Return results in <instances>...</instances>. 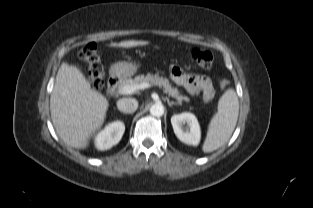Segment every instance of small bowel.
<instances>
[{
  "mask_svg": "<svg viewBox=\"0 0 313 208\" xmlns=\"http://www.w3.org/2000/svg\"><path fill=\"white\" fill-rule=\"evenodd\" d=\"M170 74L173 81L184 87L190 94L202 93V96L206 101L213 98L214 88L208 77L185 72L177 65L171 66Z\"/></svg>",
  "mask_w": 313,
  "mask_h": 208,
  "instance_id": "c3829d8e",
  "label": "small bowel"
}]
</instances>
